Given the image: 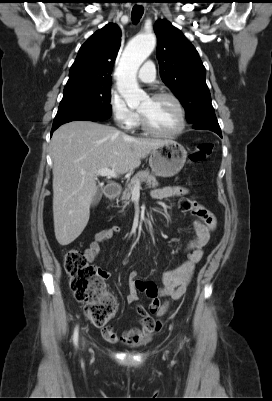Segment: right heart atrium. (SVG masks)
<instances>
[{
    "label": "right heart atrium",
    "instance_id": "1",
    "mask_svg": "<svg viewBox=\"0 0 272 401\" xmlns=\"http://www.w3.org/2000/svg\"><path fill=\"white\" fill-rule=\"evenodd\" d=\"M108 106L115 122L124 129H132L138 120V114L128 107L125 100L112 90L108 97Z\"/></svg>",
    "mask_w": 272,
    "mask_h": 401
}]
</instances>
